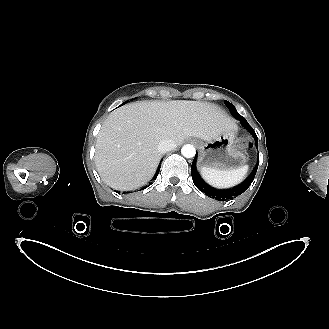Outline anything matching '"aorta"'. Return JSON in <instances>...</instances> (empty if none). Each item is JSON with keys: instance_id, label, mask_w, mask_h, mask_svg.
<instances>
[{"instance_id": "1", "label": "aorta", "mask_w": 329, "mask_h": 329, "mask_svg": "<svg viewBox=\"0 0 329 329\" xmlns=\"http://www.w3.org/2000/svg\"><path fill=\"white\" fill-rule=\"evenodd\" d=\"M181 153L186 158H192L195 156L196 150H195L194 146H192L190 144H186L182 147Z\"/></svg>"}]
</instances>
